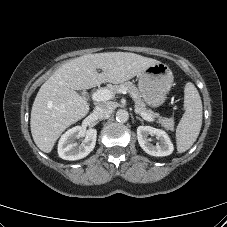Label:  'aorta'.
Segmentation results:
<instances>
[{
    "instance_id": "762f6f07",
    "label": "aorta",
    "mask_w": 227,
    "mask_h": 227,
    "mask_svg": "<svg viewBox=\"0 0 227 227\" xmlns=\"http://www.w3.org/2000/svg\"><path fill=\"white\" fill-rule=\"evenodd\" d=\"M129 119V113L128 111L124 110V109H119L116 112V120L118 122L124 123Z\"/></svg>"
}]
</instances>
